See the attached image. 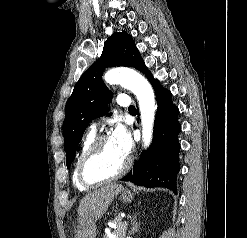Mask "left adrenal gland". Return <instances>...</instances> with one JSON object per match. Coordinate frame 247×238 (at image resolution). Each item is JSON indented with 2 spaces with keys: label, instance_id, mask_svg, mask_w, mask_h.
<instances>
[{
  "label": "left adrenal gland",
  "instance_id": "a2214340",
  "mask_svg": "<svg viewBox=\"0 0 247 238\" xmlns=\"http://www.w3.org/2000/svg\"><path fill=\"white\" fill-rule=\"evenodd\" d=\"M136 215L131 219V230H130V235L136 233L139 229V226H140V222H136Z\"/></svg>",
  "mask_w": 247,
  "mask_h": 238
}]
</instances>
